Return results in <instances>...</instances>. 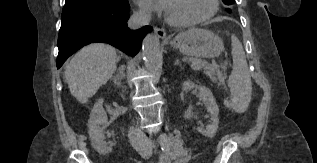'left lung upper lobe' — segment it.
Here are the masks:
<instances>
[{
  "label": "left lung upper lobe",
  "instance_id": "5c2ea615",
  "mask_svg": "<svg viewBox=\"0 0 317 163\" xmlns=\"http://www.w3.org/2000/svg\"><path fill=\"white\" fill-rule=\"evenodd\" d=\"M222 1H223L224 4H226V5H231V4L234 2V0H222ZM227 11L230 12V9H227Z\"/></svg>",
  "mask_w": 317,
  "mask_h": 163
}]
</instances>
